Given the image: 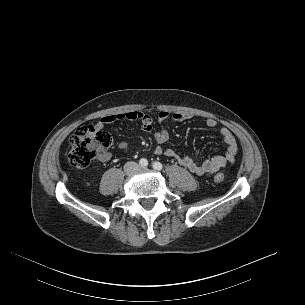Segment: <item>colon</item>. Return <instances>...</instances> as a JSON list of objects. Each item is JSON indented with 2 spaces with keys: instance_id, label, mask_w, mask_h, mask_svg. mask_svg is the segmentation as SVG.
<instances>
[{
  "instance_id": "colon-1",
  "label": "colon",
  "mask_w": 305,
  "mask_h": 305,
  "mask_svg": "<svg viewBox=\"0 0 305 305\" xmlns=\"http://www.w3.org/2000/svg\"><path fill=\"white\" fill-rule=\"evenodd\" d=\"M112 144V136L94 126H83L78 128L70 138V150L66 156L70 166L85 168L102 151L108 149ZM225 179L223 173H216L214 182L221 183Z\"/></svg>"
}]
</instances>
